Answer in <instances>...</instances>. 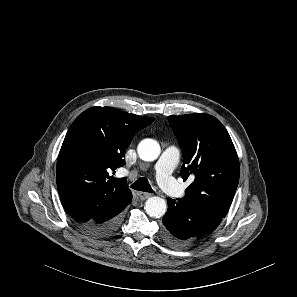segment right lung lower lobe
Wrapping results in <instances>:
<instances>
[{
    "label": "right lung lower lobe",
    "mask_w": 297,
    "mask_h": 297,
    "mask_svg": "<svg viewBox=\"0 0 297 297\" xmlns=\"http://www.w3.org/2000/svg\"><path fill=\"white\" fill-rule=\"evenodd\" d=\"M130 201L124 207L100 214L86 223H78L79 228L92 237H109L118 230L122 220V211Z\"/></svg>",
    "instance_id": "98d812e1"
}]
</instances>
